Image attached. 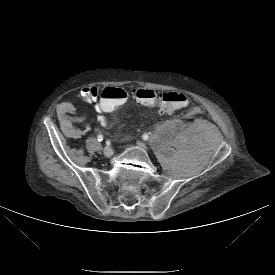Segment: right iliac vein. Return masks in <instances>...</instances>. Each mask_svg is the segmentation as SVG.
Here are the masks:
<instances>
[{"instance_id":"obj_1","label":"right iliac vein","mask_w":275,"mask_h":275,"mask_svg":"<svg viewBox=\"0 0 275 275\" xmlns=\"http://www.w3.org/2000/svg\"><path fill=\"white\" fill-rule=\"evenodd\" d=\"M113 149L111 147H105L103 149V154L105 157H111L113 155Z\"/></svg>"}]
</instances>
